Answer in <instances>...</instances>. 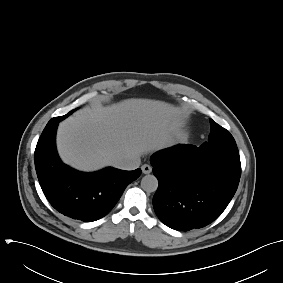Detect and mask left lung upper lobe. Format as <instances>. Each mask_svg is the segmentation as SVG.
Here are the masks:
<instances>
[{"label": "left lung upper lobe", "mask_w": 283, "mask_h": 283, "mask_svg": "<svg viewBox=\"0 0 283 283\" xmlns=\"http://www.w3.org/2000/svg\"><path fill=\"white\" fill-rule=\"evenodd\" d=\"M211 132L208 142L201 145L204 149L218 150L233 156H239V151L232 135L223 127L210 119Z\"/></svg>", "instance_id": "5c2ea615"}]
</instances>
